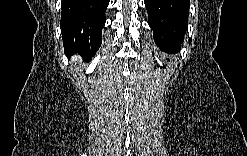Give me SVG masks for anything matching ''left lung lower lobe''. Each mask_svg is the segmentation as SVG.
Wrapping results in <instances>:
<instances>
[{"instance_id":"0a47b994","label":"left lung lower lobe","mask_w":247,"mask_h":156,"mask_svg":"<svg viewBox=\"0 0 247 156\" xmlns=\"http://www.w3.org/2000/svg\"><path fill=\"white\" fill-rule=\"evenodd\" d=\"M189 0H145L149 25L162 51L177 53L188 27Z\"/></svg>"}]
</instances>
